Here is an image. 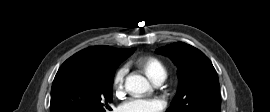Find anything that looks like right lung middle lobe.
Listing matches in <instances>:
<instances>
[{"label":"right lung middle lobe","instance_id":"right-lung-middle-lobe-1","mask_svg":"<svg viewBox=\"0 0 270 112\" xmlns=\"http://www.w3.org/2000/svg\"><path fill=\"white\" fill-rule=\"evenodd\" d=\"M135 49L111 66L65 61L52 84L50 112H107L115 70Z\"/></svg>","mask_w":270,"mask_h":112}]
</instances>
